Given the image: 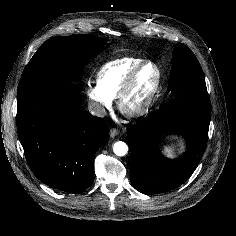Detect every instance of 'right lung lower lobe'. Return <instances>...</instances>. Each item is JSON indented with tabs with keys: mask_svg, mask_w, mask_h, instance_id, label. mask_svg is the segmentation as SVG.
<instances>
[{
	"mask_svg": "<svg viewBox=\"0 0 236 236\" xmlns=\"http://www.w3.org/2000/svg\"><path fill=\"white\" fill-rule=\"evenodd\" d=\"M72 82L28 85L17 93V130L34 175L53 189L79 194L93 182L94 155L109 138L102 118L83 114Z\"/></svg>",
	"mask_w": 236,
	"mask_h": 236,
	"instance_id": "98d812e1",
	"label": "right lung lower lobe"
}]
</instances>
